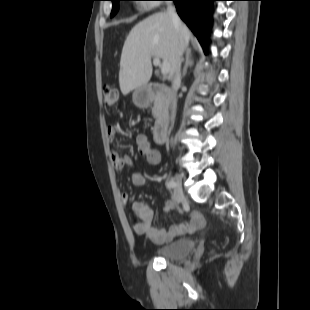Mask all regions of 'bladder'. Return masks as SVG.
I'll list each match as a JSON object with an SVG mask.
<instances>
[{"label":"bladder","mask_w":310,"mask_h":310,"mask_svg":"<svg viewBox=\"0 0 310 310\" xmlns=\"http://www.w3.org/2000/svg\"><path fill=\"white\" fill-rule=\"evenodd\" d=\"M194 249L193 241L178 239L158 248L155 255L164 260H180L189 256Z\"/></svg>","instance_id":"1"}]
</instances>
